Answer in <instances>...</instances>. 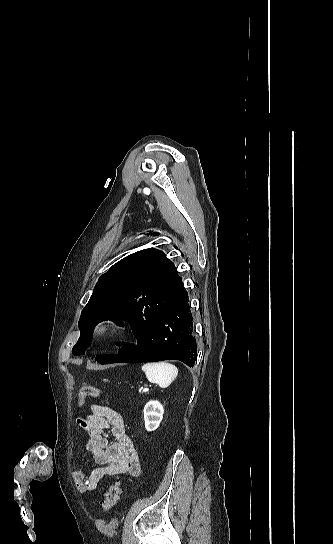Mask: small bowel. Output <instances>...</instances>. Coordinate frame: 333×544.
I'll return each mask as SVG.
<instances>
[{"mask_svg":"<svg viewBox=\"0 0 333 544\" xmlns=\"http://www.w3.org/2000/svg\"><path fill=\"white\" fill-rule=\"evenodd\" d=\"M78 423L88 434L85 450L97 465L88 475L83 470L73 472V480L80 492L93 490L107 476L139 475V456L118 412L94 404L92 413Z\"/></svg>","mask_w":333,"mask_h":544,"instance_id":"obj_1","label":"small bowel"}]
</instances>
